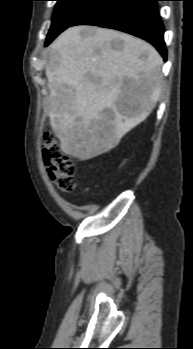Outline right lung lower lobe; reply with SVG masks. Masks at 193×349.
I'll return each mask as SVG.
<instances>
[{"label": "right lung lower lobe", "mask_w": 193, "mask_h": 349, "mask_svg": "<svg viewBox=\"0 0 193 349\" xmlns=\"http://www.w3.org/2000/svg\"><path fill=\"white\" fill-rule=\"evenodd\" d=\"M159 0H100L71 26L96 25L120 30L140 37L167 58L164 26L157 11Z\"/></svg>", "instance_id": "98d812e1"}]
</instances>
